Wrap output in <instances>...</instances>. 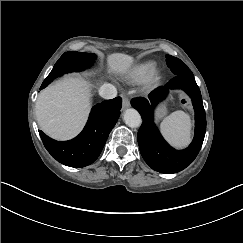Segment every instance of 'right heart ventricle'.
I'll return each mask as SVG.
<instances>
[{
	"label": "right heart ventricle",
	"instance_id": "right-heart-ventricle-1",
	"mask_svg": "<svg viewBox=\"0 0 243 243\" xmlns=\"http://www.w3.org/2000/svg\"><path fill=\"white\" fill-rule=\"evenodd\" d=\"M158 63L152 60L138 61L128 66L121 74L122 82L139 85L147 81L156 71Z\"/></svg>",
	"mask_w": 243,
	"mask_h": 243
}]
</instances>
